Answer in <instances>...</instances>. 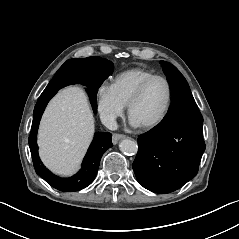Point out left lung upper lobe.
Here are the masks:
<instances>
[{
	"label": "left lung upper lobe",
	"mask_w": 239,
	"mask_h": 239,
	"mask_svg": "<svg viewBox=\"0 0 239 239\" xmlns=\"http://www.w3.org/2000/svg\"><path fill=\"white\" fill-rule=\"evenodd\" d=\"M163 71L172 89V99L177 96L191 93L189 85L179 70L169 62L161 61Z\"/></svg>",
	"instance_id": "5c2ea615"
}]
</instances>
